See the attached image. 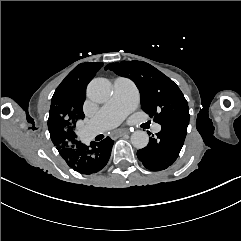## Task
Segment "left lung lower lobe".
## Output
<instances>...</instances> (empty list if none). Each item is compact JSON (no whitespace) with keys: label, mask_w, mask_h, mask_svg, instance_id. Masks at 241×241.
<instances>
[{"label":"left lung lower lobe","mask_w":241,"mask_h":241,"mask_svg":"<svg viewBox=\"0 0 241 241\" xmlns=\"http://www.w3.org/2000/svg\"><path fill=\"white\" fill-rule=\"evenodd\" d=\"M157 138H150L147 147L137 151L138 159L152 171H160L172 165L184 144L187 122H168L161 125Z\"/></svg>","instance_id":"0a47b994"}]
</instances>
